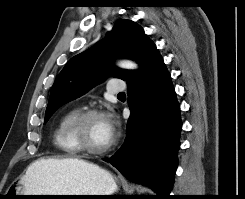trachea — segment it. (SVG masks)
Returning a JSON list of instances; mask_svg holds the SVG:
<instances>
[{"mask_svg": "<svg viewBox=\"0 0 245 199\" xmlns=\"http://www.w3.org/2000/svg\"><path fill=\"white\" fill-rule=\"evenodd\" d=\"M118 96H125V93H119Z\"/></svg>", "mask_w": 245, "mask_h": 199, "instance_id": "1", "label": "trachea"}]
</instances>
